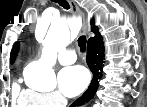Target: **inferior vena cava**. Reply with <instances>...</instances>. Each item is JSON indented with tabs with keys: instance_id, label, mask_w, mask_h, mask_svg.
<instances>
[{
	"instance_id": "inferior-vena-cava-1",
	"label": "inferior vena cava",
	"mask_w": 147,
	"mask_h": 107,
	"mask_svg": "<svg viewBox=\"0 0 147 107\" xmlns=\"http://www.w3.org/2000/svg\"><path fill=\"white\" fill-rule=\"evenodd\" d=\"M67 105V100L65 98H62L60 101V106L59 107H66Z\"/></svg>"
}]
</instances>
